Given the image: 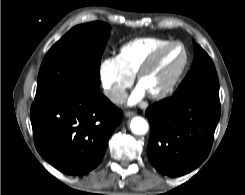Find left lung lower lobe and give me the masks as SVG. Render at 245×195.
<instances>
[{"label": "left lung lower lobe", "mask_w": 245, "mask_h": 195, "mask_svg": "<svg viewBox=\"0 0 245 195\" xmlns=\"http://www.w3.org/2000/svg\"><path fill=\"white\" fill-rule=\"evenodd\" d=\"M146 116L151 127L150 163L160 173L177 177L207 158L220 118V101L172 96L150 106Z\"/></svg>", "instance_id": "0a47b994"}]
</instances>
